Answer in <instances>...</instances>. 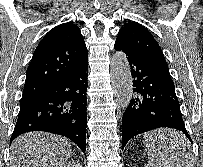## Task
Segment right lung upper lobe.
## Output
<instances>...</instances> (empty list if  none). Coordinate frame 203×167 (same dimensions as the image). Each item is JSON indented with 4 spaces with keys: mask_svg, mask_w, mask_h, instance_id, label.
<instances>
[{
    "mask_svg": "<svg viewBox=\"0 0 203 167\" xmlns=\"http://www.w3.org/2000/svg\"><path fill=\"white\" fill-rule=\"evenodd\" d=\"M87 58V48L77 25L67 22L54 27L34 51L22 96L46 92Z\"/></svg>",
    "mask_w": 203,
    "mask_h": 167,
    "instance_id": "1",
    "label": "right lung upper lobe"
}]
</instances>
